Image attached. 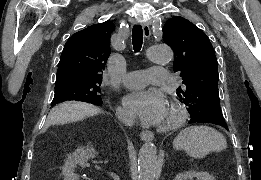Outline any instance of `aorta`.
<instances>
[{
  "mask_svg": "<svg viewBox=\"0 0 261 180\" xmlns=\"http://www.w3.org/2000/svg\"><path fill=\"white\" fill-rule=\"evenodd\" d=\"M146 55L148 59L157 64H165L172 60L173 52L166 45L150 47ZM157 164V150L154 144L145 143L138 155L139 180H154Z\"/></svg>",
  "mask_w": 261,
  "mask_h": 180,
  "instance_id": "762f6f07",
  "label": "aorta"
}]
</instances>
